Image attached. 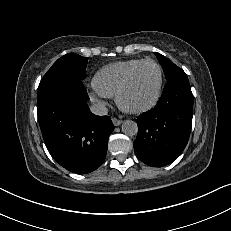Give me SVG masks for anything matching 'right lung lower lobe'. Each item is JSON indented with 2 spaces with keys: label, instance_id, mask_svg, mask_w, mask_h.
Listing matches in <instances>:
<instances>
[{
  "label": "right lung lower lobe",
  "instance_id": "right-lung-lower-lobe-1",
  "mask_svg": "<svg viewBox=\"0 0 231 231\" xmlns=\"http://www.w3.org/2000/svg\"><path fill=\"white\" fill-rule=\"evenodd\" d=\"M88 100L76 78L57 79L38 89L37 113L45 144L57 163L77 174L102 165L114 130L110 117L91 113Z\"/></svg>",
  "mask_w": 231,
  "mask_h": 231
}]
</instances>
